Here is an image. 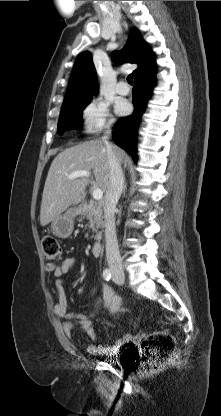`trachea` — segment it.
I'll use <instances>...</instances> for the list:
<instances>
[{
    "mask_svg": "<svg viewBox=\"0 0 221 416\" xmlns=\"http://www.w3.org/2000/svg\"><path fill=\"white\" fill-rule=\"evenodd\" d=\"M127 82H128L130 85H133V75H132V74H130V75L127 77Z\"/></svg>",
    "mask_w": 221,
    "mask_h": 416,
    "instance_id": "3493384b",
    "label": "trachea"
}]
</instances>
